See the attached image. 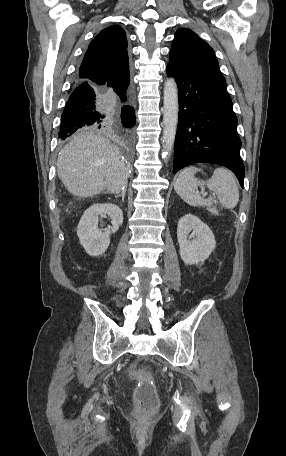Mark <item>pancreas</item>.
I'll return each instance as SVG.
<instances>
[{
    "instance_id": "pancreas-1",
    "label": "pancreas",
    "mask_w": 286,
    "mask_h": 456,
    "mask_svg": "<svg viewBox=\"0 0 286 456\" xmlns=\"http://www.w3.org/2000/svg\"><path fill=\"white\" fill-rule=\"evenodd\" d=\"M210 212L213 214V215H219L218 211L216 209H210Z\"/></svg>"
}]
</instances>
